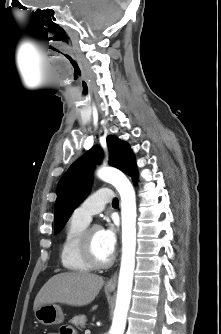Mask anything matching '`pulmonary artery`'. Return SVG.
<instances>
[{"label": "pulmonary artery", "mask_w": 221, "mask_h": 334, "mask_svg": "<svg viewBox=\"0 0 221 334\" xmlns=\"http://www.w3.org/2000/svg\"><path fill=\"white\" fill-rule=\"evenodd\" d=\"M114 193L111 189L101 188L88 196L73 212L74 217L89 223L92 216L101 212L105 205L112 201Z\"/></svg>", "instance_id": "pulmonary-artery-1"}]
</instances>
